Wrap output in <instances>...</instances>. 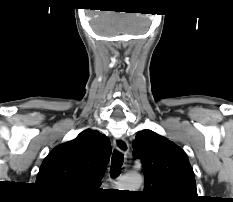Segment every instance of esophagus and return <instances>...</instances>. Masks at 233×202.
<instances>
[{"label": "esophagus", "mask_w": 233, "mask_h": 202, "mask_svg": "<svg viewBox=\"0 0 233 202\" xmlns=\"http://www.w3.org/2000/svg\"><path fill=\"white\" fill-rule=\"evenodd\" d=\"M114 144H115L116 149L119 152L124 153V154L128 153V151H129V144L126 141V139H124L123 137H117L114 140Z\"/></svg>", "instance_id": "1"}]
</instances>
